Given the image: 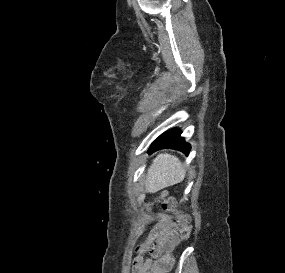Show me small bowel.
Masks as SVG:
<instances>
[{"instance_id": "1", "label": "small bowel", "mask_w": 285, "mask_h": 273, "mask_svg": "<svg viewBox=\"0 0 285 273\" xmlns=\"http://www.w3.org/2000/svg\"><path fill=\"white\" fill-rule=\"evenodd\" d=\"M178 243L175 223L159 215L156 226L136 249L133 273H166L173 265L171 252Z\"/></svg>"}]
</instances>
